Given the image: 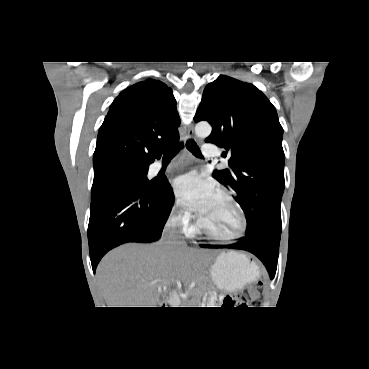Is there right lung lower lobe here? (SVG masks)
I'll return each mask as SVG.
<instances>
[{"instance_id":"obj_1","label":"right lung lower lobe","mask_w":369,"mask_h":369,"mask_svg":"<svg viewBox=\"0 0 369 369\" xmlns=\"http://www.w3.org/2000/svg\"><path fill=\"white\" fill-rule=\"evenodd\" d=\"M173 203L166 177L152 187L120 179L92 196L88 241L93 272L114 247L159 240Z\"/></svg>"}]
</instances>
